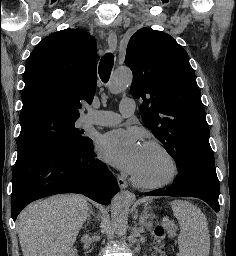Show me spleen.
<instances>
[{
    "instance_id": "obj_1",
    "label": "spleen",
    "mask_w": 236,
    "mask_h": 256,
    "mask_svg": "<svg viewBox=\"0 0 236 256\" xmlns=\"http://www.w3.org/2000/svg\"><path fill=\"white\" fill-rule=\"evenodd\" d=\"M171 208L180 226L177 256H209L210 234L201 210L184 200H174Z\"/></svg>"
}]
</instances>
